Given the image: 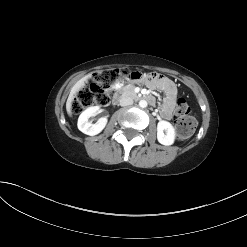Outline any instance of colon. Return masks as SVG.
<instances>
[{"instance_id": "1", "label": "colon", "mask_w": 247, "mask_h": 247, "mask_svg": "<svg viewBox=\"0 0 247 247\" xmlns=\"http://www.w3.org/2000/svg\"><path fill=\"white\" fill-rule=\"evenodd\" d=\"M124 69H105L96 72L89 84L79 90L71 103L74 114L81 113L91 106H106L114 86L126 79ZM174 124L179 139H187L195 131L196 120L191 115L189 105L184 99H179L175 108Z\"/></svg>"}]
</instances>
